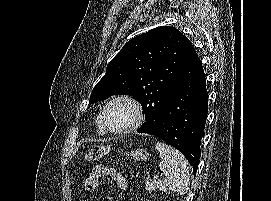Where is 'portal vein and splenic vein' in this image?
Wrapping results in <instances>:
<instances>
[{
  "label": "portal vein and splenic vein",
  "mask_w": 271,
  "mask_h": 201,
  "mask_svg": "<svg viewBox=\"0 0 271 201\" xmlns=\"http://www.w3.org/2000/svg\"><path fill=\"white\" fill-rule=\"evenodd\" d=\"M159 178V176L158 175H154V179H158Z\"/></svg>",
  "instance_id": "1"
}]
</instances>
